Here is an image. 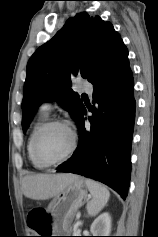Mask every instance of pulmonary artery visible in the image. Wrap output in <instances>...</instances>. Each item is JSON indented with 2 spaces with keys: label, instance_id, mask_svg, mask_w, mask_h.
I'll return each instance as SVG.
<instances>
[{
  "label": "pulmonary artery",
  "instance_id": "pulmonary-artery-1",
  "mask_svg": "<svg viewBox=\"0 0 158 237\" xmlns=\"http://www.w3.org/2000/svg\"><path fill=\"white\" fill-rule=\"evenodd\" d=\"M80 85L84 88V89H86V90H88V91H91L92 90V85L89 83V82H87V81H81L80 82ZM41 110L43 111V112H46V113H48V112H50V110H51V103L50 102H44L42 105H41Z\"/></svg>",
  "mask_w": 158,
  "mask_h": 237
}]
</instances>
